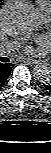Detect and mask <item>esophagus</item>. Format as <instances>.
<instances>
[{
	"label": "esophagus",
	"mask_w": 51,
	"mask_h": 153,
	"mask_svg": "<svg viewBox=\"0 0 51 153\" xmlns=\"http://www.w3.org/2000/svg\"><path fill=\"white\" fill-rule=\"evenodd\" d=\"M24 62L29 64V65L38 64L39 63V61L33 60V59H24Z\"/></svg>",
	"instance_id": "esophagus-1"
}]
</instances>
